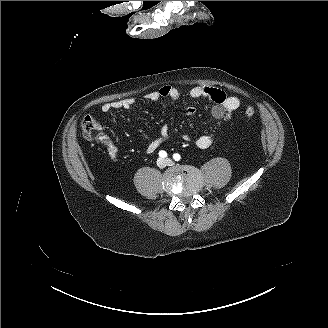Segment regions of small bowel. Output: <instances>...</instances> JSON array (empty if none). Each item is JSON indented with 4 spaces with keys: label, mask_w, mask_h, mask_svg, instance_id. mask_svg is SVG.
I'll return each instance as SVG.
<instances>
[{
    "label": "small bowel",
    "mask_w": 328,
    "mask_h": 328,
    "mask_svg": "<svg viewBox=\"0 0 328 328\" xmlns=\"http://www.w3.org/2000/svg\"><path fill=\"white\" fill-rule=\"evenodd\" d=\"M162 98H169L175 101L189 99L206 98L213 102L211 109V115L219 123L226 122L231 119L232 115L240 108L241 101L236 96H227L222 90L212 87H194L190 90L184 91L177 87L165 85L158 90L147 93L142 97L144 101H157ZM138 99L134 97H128L120 100L104 103L101 106V111L108 113L117 109H130L136 103ZM195 110L192 106H187L184 114L186 116H192ZM170 136V130L166 125H163L159 129V136L151 141L145 148L147 154H151L156 151L159 146ZM182 139L185 142L192 140V137L188 133L182 134ZM103 143L106 146V150L109 158L112 161H116L118 158V148L107 137H103ZM213 143V139L210 135H201L196 139V145L200 149H207Z\"/></svg>",
    "instance_id": "c3829d8e"
}]
</instances>
